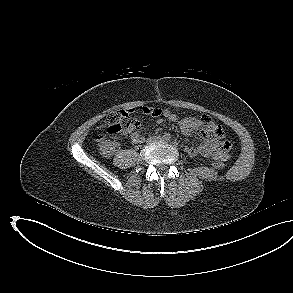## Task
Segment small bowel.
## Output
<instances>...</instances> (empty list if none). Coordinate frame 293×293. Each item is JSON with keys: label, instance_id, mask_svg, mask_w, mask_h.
<instances>
[{"label": "small bowel", "instance_id": "c3829d8e", "mask_svg": "<svg viewBox=\"0 0 293 293\" xmlns=\"http://www.w3.org/2000/svg\"><path fill=\"white\" fill-rule=\"evenodd\" d=\"M143 114L157 118V123L162 122V118L170 122L178 123L181 132L186 136H191L199 132L203 138L201 145L188 149V154L192 157L202 156L214 160H226L229 157L230 143L225 137L223 129L212 119L203 115L200 118L184 117L179 118L175 113L168 109L143 106L139 108ZM145 139L144 132L138 131L131 136L133 144L142 143Z\"/></svg>", "mask_w": 293, "mask_h": 293}]
</instances>
